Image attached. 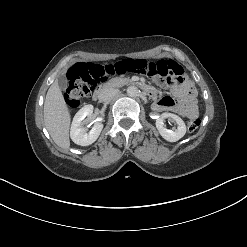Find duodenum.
I'll list each match as a JSON object with an SVG mask.
<instances>
[{
	"label": "duodenum",
	"mask_w": 247,
	"mask_h": 247,
	"mask_svg": "<svg viewBox=\"0 0 247 247\" xmlns=\"http://www.w3.org/2000/svg\"><path fill=\"white\" fill-rule=\"evenodd\" d=\"M120 81H114V82H111V83H106V84H103L101 86H99L94 92H93V99L95 101H101L104 97V95L106 94L107 90L114 86V85H117L119 84ZM132 85H136L135 82L131 83ZM140 89L142 90V92L146 95H153L152 91L150 88L146 87V86H141Z\"/></svg>",
	"instance_id": "duodenum-1"
}]
</instances>
